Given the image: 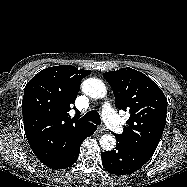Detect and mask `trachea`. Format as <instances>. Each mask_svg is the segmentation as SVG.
Returning a JSON list of instances; mask_svg holds the SVG:
<instances>
[{"instance_id":"3493384b","label":"trachea","mask_w":187,"mask_h":187,"mask_svg":"<svg viewBox=\"0 0 187 187\" xmlns=\"http://www.w3.org/2000/svg\"><path fill=\"white\" fill-rule=\"evenodd\" d=\"M83 120H87V121H92L94 122L96 125H100L101 124V119H100V115L98 114L97 111H89L88 113H86L83 118Z\"/></svg>"}]
</instances>
